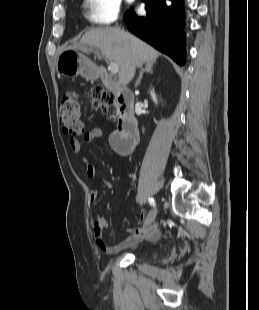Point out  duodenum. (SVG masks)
Segmentation results:
<instances>
[{
    "instance_id": "410a0bca",
    "label": "duodenum",
    "mask_w": 259,
    "mask_h": 310,
    "mask_svg": "<svg viewBox=\"0 0 259 310\" xmlns=\"http://www.w3.org/2000/svg\"><path fill=\"white\" fill-rule=\"evenodd\" d=\"M99 75L115 92L118 127L112 134L111 143L119 153L129 155L134 151L139 139L134 113V96L131 91L115 87L110 83L103 70L99 72Z\"/></svg>"
}]
</instances>
